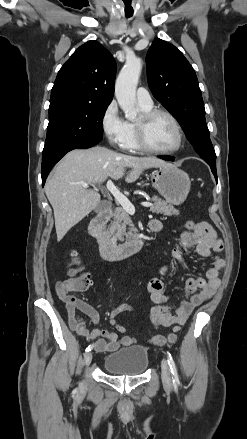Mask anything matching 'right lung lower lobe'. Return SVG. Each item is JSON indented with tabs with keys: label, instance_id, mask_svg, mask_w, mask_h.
Listing matches in <instances>:
<instances>
[{
	"label": "right lung lower lobe",
	"instance_id": "obj_1",
	"mask_svg": "<svg viewBox=\"0 0 247 439\" xmlns=\"http://www.w3.org/2000/svg\"><path fill=\"white\" fill-rule=\"evenodd\" d=\"M92 146H85V147H77V148H81V149H86V148H90ZM77 148H72V149H68L65 151H61L58 153H55L53 155H50L48 157H45L44 159H42V185L44 186L45 184V180L50 172V170L52 169V167L69 151L73 150V149H77Z\"/></svg>",
	"mask_w": 247,
	"mask_h": 439
}]
</instances>
